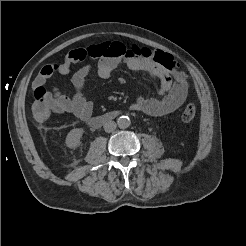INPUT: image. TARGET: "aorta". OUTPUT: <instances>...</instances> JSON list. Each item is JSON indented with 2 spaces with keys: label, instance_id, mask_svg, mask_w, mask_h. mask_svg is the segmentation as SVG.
I'll return each instance as SVG.
<instances>
[{
  "label": "aorta",
  "instance_id": "762f6f07",
  "mask_svg": "<svg viewBox=\"0 0 246 246\" xmlns=\"http://www.w3.org/2000/svg\"><path fill=\"white\" fill-rule=\"evenodd\" d=\"M117 124L120 128H127L130 126L131 121L128 116H120L117 119Z\"/></svg>",
  "mask_w": 246,
  "mask_h": 246
}]
</instances>
